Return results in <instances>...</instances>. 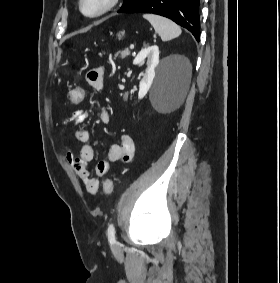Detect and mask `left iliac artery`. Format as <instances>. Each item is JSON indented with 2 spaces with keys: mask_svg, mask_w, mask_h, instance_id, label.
<instances>
[{
  "mask_svg": "<svg viewBox=\"0 0 280 283\" xmlns=\"http://www.w3.org/2000/svg\"><path fill=\"white\" fill-rule=\"evenodd\" d=\"M108 239L110 243H114L116 241L115 238V227L113 224H110L107 231Z\"/></svg>",
  "mask_w": 280,
  "mask_h": 283,
  "instance_id": "44dca946",
  "label": "left iliac artery"
}]
</instances>
